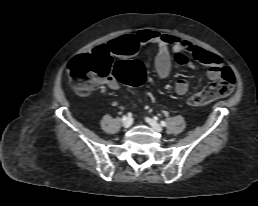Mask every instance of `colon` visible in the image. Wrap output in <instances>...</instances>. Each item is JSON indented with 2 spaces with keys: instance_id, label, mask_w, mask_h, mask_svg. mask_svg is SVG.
I'll use <instances>...</instances> for the list:
<instances>
[{
  "instance_id": "obj_1",
  "label": "colon",
  "mask_w": 258,
  "mask_h": 206,
  "mask_svg": "<svg viewBox=\"0 0 258 206\" xmlns=\"http://www.w3.org/2000/svg\"><path fill=\"white\" fill-rule=\"evenodd\" d=\"M72 87L79 94H86L95 84L110 77L126 85H138L143 81L144 68L137 60L118 61L113 64L111 56L103 50L76 56L68 66ZM235 75L229 67H224L220 78L207 85L188 99L191 106H201L217 98L230 95L235 87Z\"/></svg>"
}]
</instances>
